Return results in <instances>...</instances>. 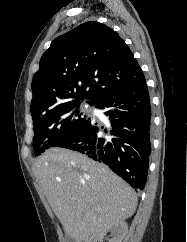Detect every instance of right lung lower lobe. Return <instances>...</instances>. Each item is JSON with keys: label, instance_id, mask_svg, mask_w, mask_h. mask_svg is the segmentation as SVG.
Wrapping results in <instances>:
<instances>
[{"label": "right lung lower lobe", "instance_id": "obj_1", "mask_svg": "<svg viewBox=\"0 0 187 242\" xmlns=\"http://www.w3.org/2000/svg\"><path fill=\"white\" fill-rule=\"evenodd\" d=\"M109 116L111 128L89 118L52 147L78 151L104 163L133 188L143 190L151 153V107L146 81L110 94L96 103Z\"/></svg>", "mask_w": 187, "mask_h": 242}]
</instances>
